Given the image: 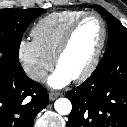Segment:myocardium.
Listing matches in <instances>:
<instances>
[{"mask_svg": "<svg viewBox=\"0 0 127 127\" xmlns=\"http://www.w3.org/2000/svg\"><path fill=\"white\" fill-rule=\"evenodd\" d=\"M90 17H95L100 21L101 26H102V37H101L99 47H98L97 51L95 52L89 65L79 75H77L76 77L73 78L77 82L84 81L88 77L91 76V74L97 68L100 58L102 56V53L104 51V48L106 45V40H107V24H106L105 20L102 18V16L99 15L98 13H95V12H86V13L82 14L79 18H77L70 25V27L64 34V36H63V38L56 50V53L54 55V64L58 67L61 58L64 56V54L66 53V51L69 48V45L71 43V40H72L77 28L80 26V24L84 20H86L87 18H90Z\"/></svg>", "mask_w": 127, "mask_h": 127, "instance_id": "myocardium-1", "label": "myocardium"}]
</instances>
